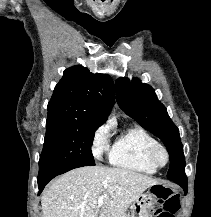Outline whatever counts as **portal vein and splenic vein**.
Listing matches in <instances>:
<instances>
[{
    "mask_svg": "<svg viewBox=\"0 0 211 217\" xmlns=\"http://www.w3.org/2000/svg\"><path fill=\"white\" fill-rule=\"evenodd\" d=\"M97 202H98V206L101 207L104 202V197H99Z\"/></svg>",
    "mask_w": 211,
    "mask_h": 217,
    "instance_id": "obj_1",
    "label": "portal vein and splenic vein"
}]
</instances>
